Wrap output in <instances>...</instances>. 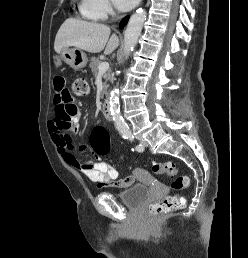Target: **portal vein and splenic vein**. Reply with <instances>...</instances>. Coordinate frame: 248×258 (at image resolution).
I'll return each mask as SVG.
<instances>
[{"mask_svg":"<svg viewBox=\"0 0 248 258\" xmlns=\"http://www.w3.org/2000/svg\"><path fill=\"white\" fill-rule=\"evenodd\" d=\"M109 68V63L108 62H102L98 66V70L100 73H104L108 70Z\"/></svg>","mask_w":248,"mask_h":258,"instance_id":"portal-vein-and-splenic-vein-1","label":"portal vein and splenic vein"}]
</instances>
